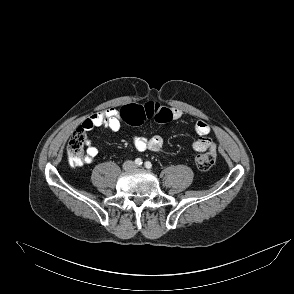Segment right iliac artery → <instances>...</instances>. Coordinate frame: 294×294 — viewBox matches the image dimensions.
Instances as JSON below:
<instances>
[{"mask_svg":"<svg viewBox=\"0 0 294 294\" xmlns=\"http://www.w3.org/2000/svg\"><path fill=\"white\" fill-rule=\"evenodd\" d=\"M135 164L138 165V166H140L142 164L141 158L135 159Z\"/></svg>","mask_w":294,"mask_h":294,"instance_id":"obj_1","label":"right iliac artery"}]
</instances>
